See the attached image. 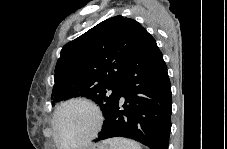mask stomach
<instances>
[{
    "instance_id": "1",
    "label": "stomach",
    "mask_w": 227,
    "mask_h": 149,
    "mask_svg": "<svg viewBox=\"0 0 227 149\" xmlns=\"http://www.w3.org/2000/svg\"><path fill=\"white\" fill-rule=\"evenodd\" d=\"M93 149H108L107 145H98L97 147Z\"/></svg>"
}]
</instances>
